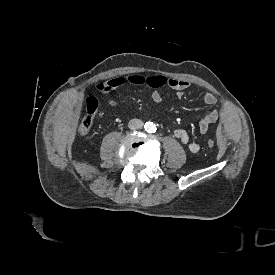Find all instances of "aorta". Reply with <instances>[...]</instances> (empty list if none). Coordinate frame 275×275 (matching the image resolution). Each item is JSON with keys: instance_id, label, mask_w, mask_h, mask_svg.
I'll use <instances>...</instances> for the list:
<instances>
[{"instance_id": "1", "label": "aorta", "mask_w": 275, "mask_h": 275, "mask_svg": "<svg viewBox=\"0 0 275 275\" xmlns=\"http://www.w3.org/2000/svg\"><path fill=\"white\" fill-rule=\"evenodd\" d=\"M145 130L147 133H154L156 131V125L153 122H147Z\"/></svg>"}]
</instances>
